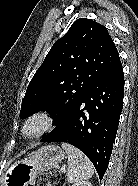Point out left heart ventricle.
I'll return each mask as SVG.
<instances>
[{
  "label": "left heart ventricle",
  "mask_w": 138,
  "mask_h": 186,
  "mask_svg": "<svg viewBox=\"0 0 138 186\" xmlns=\"http://www.w3.org/2000/svg\"><path fill=\"white\" fill-rule=\"evenodd\" d=\"M38 127V125H32L30 128H29V132L31 131H34L36 128Z\"/></svg>",
  "instance_id": "obj_1"
}]
</instances>
